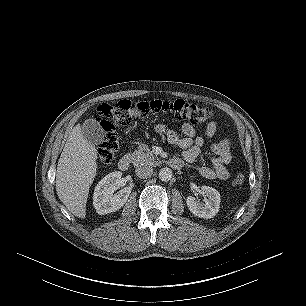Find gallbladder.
Returning a JSON list of instances; mask_svg holds the SVG:
<instances>
[{
  "label": "gallbladder",
  "instance_id": "obj_1",
  "mask_svg": "<svg viewBox=\"0 0 306 306\" xmlns=\"http://www.w3.org/2000/svg\"><path fill=\"white\" fill-rule=\"evenodd\" d=\"M82 132L90 144H100L105 137V132L101 125L93 119H88L83 123Z\"/></svg>",
  "mask_w": 306,
  "mask_h": 306
}]
</instances>
